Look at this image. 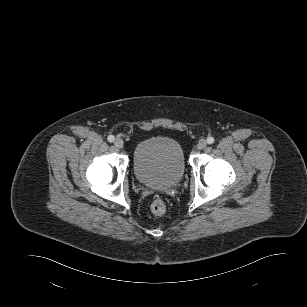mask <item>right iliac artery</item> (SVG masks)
<instances>
[{
  "label": "right iliac artery",
  "mask_w": 307,
  "mask_h": 307,
  "mask_svg": "<svg viewBox=\"0 0 307 307\" xmlns=\"http://www.w3.org/2000/svg\"><path fill=\"white\" fill-rule=\"evenodd\" d=\"M107 139L109 142H113L115 140V137L113 135H109Z\"/></svg>",
  "instance_id": "obj_1"
}]
</instances>
